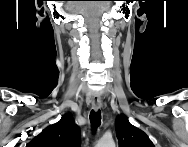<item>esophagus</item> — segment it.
Masks as SVG:
<instances>
[{"label": "esophagus", "mask_w": 188, "mask_h": 147, "mask_svg": "<svg viewBox=\"0 0 188 147\" xmlns=\"http://www.w3.org/2000/svg\"><path fill=\"white\" fill-rule=\"evenodd\" d=\"M102 102L99 96H95L92 101V107L94 110H99L101 108Z\"/></svg>", "instance_id": "obj_1"}]
</instances>
